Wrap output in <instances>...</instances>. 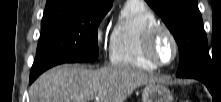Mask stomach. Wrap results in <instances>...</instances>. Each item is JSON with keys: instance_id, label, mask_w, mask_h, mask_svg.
I'll return each mask as SVG.
<instances>
[{"instance_id": "obj_1", "label": "stomach", "mask_w": 221, "mask_h": 102, "mask_svg": "<svg viewBox=\"0 0 221 102\" xmlns=\"http://www.w3.org/2000/svg\"><path fill=\"white\" fill-rule=\"evenodd\" d=\"M172 100V93L162 83H148L143 89L142 102H172Z\"/></svg>"}]
</instances>
